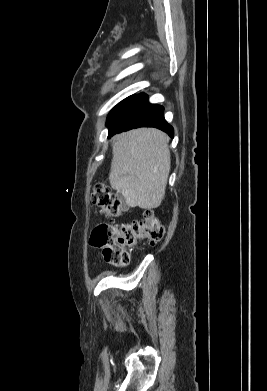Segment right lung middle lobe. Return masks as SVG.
I'll return each instance as SVG.
<instances>
[{"instance_id": "dd1d6c3e", "label": "right lung middle lobe", "mask_w": 267, "mask_h": 391, "mask_svg": "<svg viewBox=\"0 0 267 391\" xmlns=\"http://www.w3.org/2000/svg\"><path fill=\"white\" fill-rule=\"evenodd\" d=\"M134 96V95H133ZM133 96H130L123 101H121L117 106H115L110 112L107 121H109Z\"/></svg>"}]
</instances>
